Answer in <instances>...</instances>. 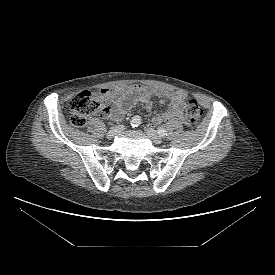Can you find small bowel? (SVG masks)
I'll use <instances>...</instances> for the list:
<instances>
[{
    "label": "small bowel",
    "mask_w": 275,
    "mask_h": 275,
    "mask_svg": "<svg viewBox=\"0 0 275 275\" xmlns=\"http://www.w3.org/2000/svg\"><path fill=\"white\" fill-rule=\"evenodd\" d=\"M101 93L110 108H106L102 114L113 120H120L136 103L141 102L155 124L165 121H184V108L186 94L183 91L162 89L143 85L120 86L111 89H102ZM153 98L163 105L169 103L168 109L163 113H155Z\"/></svg>",
    "instance_id": "obj_1"
}]
</instances>
